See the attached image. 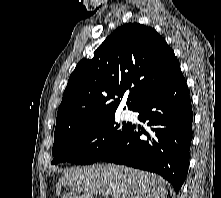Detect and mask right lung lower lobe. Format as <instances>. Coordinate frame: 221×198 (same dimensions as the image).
I'll list each match as a JSON object with an SVG mask.
<instances>
[{"label":"right lung lower lobe","instance_id":"1","mask_svg":"<svg viewBox=\"0 0 221 198\" xmlns=\"http://www.w3.org/2000/svg\"><path fill=\"white\" fill-rule=\"evenodd\" d=\"M135 111L149 127L145 130L131 124L122 141L99 161L157 173L178 193L188 172L193 121L182 73L152 93ZM142 134L145 139H140Z\"/></svg>","mask_w":221,"mask_h":198}]
</instances>
